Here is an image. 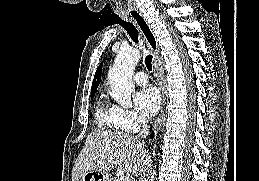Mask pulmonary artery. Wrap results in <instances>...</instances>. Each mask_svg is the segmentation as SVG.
<instances>
[{
	"mask_svg": "<svg viewBox=\"0 0 259 181\" xmlns=\"http://www.w3.org/2000/svg\"><path fill=\"white\" fill-rule=\"evenodd\" d=\"M133 80L138 85H146L148 83L147 74L144 71H139L133 76Z\"/></svg>",
	"mask_w": 259,
	"mask_h": 181,
	"instance_id": "1",
	"label": "pulmonary artery"
}]
</instances>
